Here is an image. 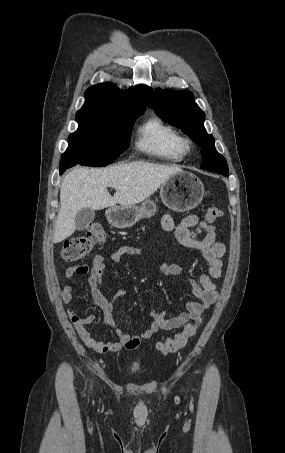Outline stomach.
Segmentation results:
<instances>
[{"instance_id": "stomach-1", "label": "stomach", "mask_w": 285, "mask_h": 453, "mask_svg": "<svg viewBox=\"0 0 285 453\" xmlns=\"http://www.w3.org/2000/svg\"><path fill=\"white\" fill-rule=\"evenodd\" d=\"M204 196V186L194 174L180 171L173 174L160 188L163 204L176 212H185L200 204ZM157 211L152 200H145L141 206H116L107 210L108 222L116 228L133 226L141 218H150Z\"/></svg>"}]
</instances>
